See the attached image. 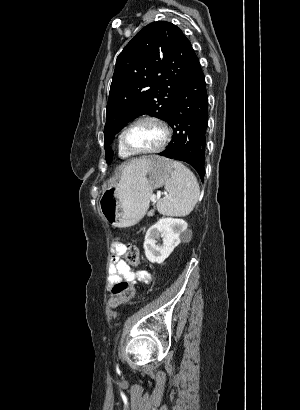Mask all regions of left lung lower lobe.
<instances>
[{"label":"left lung lower lobe","mask_w":300,"mask_h":410,"mask_svg":"<svg viewBox=\"0 0 300 410\" xmlns=\"http://www.w3.org/2000/svg\"><path fill=\"white\" fill-rule=\"evenodd\" d=\"M166 122L173 129V137L166 150L159 155L189 163L203 180L208 95L198 58L181 85Z\"/></svg>","instance_id":"obj_1"}]
</instances>
